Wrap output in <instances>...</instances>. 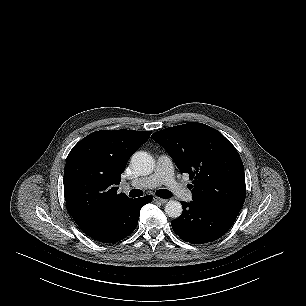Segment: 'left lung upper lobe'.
<instances>
[{"instance_id": "1", "label": "left lung upper lobe", "mask_w": 306, "mask_h": 306, "mask_svg": "<svg viewBox=\"0 0 306 306\" xmlns=\"http://www.w3.org/2000/svg\"><path fill=\"white\" fill-rule=\"evenodd\" d=\"M194 181L193 201L240 211L246 196L244 166L235 147L216 129L188 122L151 136Z\"/></svg>"}]
</instances>
